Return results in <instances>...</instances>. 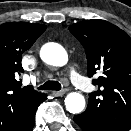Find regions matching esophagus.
<instances>
[{
    "label": "esophagus",
    "mask_w": 131,
    "mask_h": 131,
    "mask_svg": "<svg viewBox=\"0 0 131 131\" xmlns=\"http://www.w3.org/2000/svg\"><path fill=\"white\" fill-rule=\"evenodd\" d=\"M66 90H60V91H53L52 95L58 97V96H62L63 94H65Z\"/></svg>",
    "instance_id": "esophagus-1"
}]
</instances>
